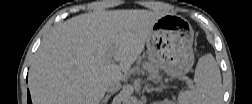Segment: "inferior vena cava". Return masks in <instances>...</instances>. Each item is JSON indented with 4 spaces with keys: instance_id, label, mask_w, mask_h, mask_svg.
<instances>
[{
    "instance_id": "obj_1",
    "label": "inferior vena cava",
    "mask_w": 252,
    "mask_h": 104,
    "mask_svg": "<svg viewBox=\"0 0 252 104\" xmlns=\"http://www.w3.org/2000/svg\"><path fill=\"white\" fill-rule=\"evenodd\" d=\"M121 89V83L119 80H111L106 85V91L110 93H115Z\"/></svg>"
}]
</instances>
